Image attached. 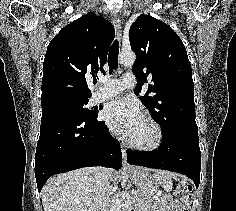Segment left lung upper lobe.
I'll return each mask as SVG.
<instances>
[{
	"mask_svg": "<svg viewBox=\"0 0 236 211\" xmlns=\"http://www.w3.org/2000/svg\"><path fill=\"white\" fill-rule=\"evenodd\" d=\"M129 40L137 59L132 67L140 93L147 79L152 85L141 98L163 135L198 134L195 121L191 64L182 40L166 23L140 15L130 27Z\"/></svg>",
	"mask_w": 236,
	"mask_h": 211,
	"instance_id": "1",
	"label": "left lung upper lobe"
}]
</instances>
